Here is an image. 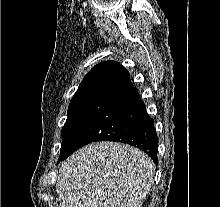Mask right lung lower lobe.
<instances>
[{
  "instance_id": "1",
  "label": "right lung lower lobe",
  "mask_w": 220,
  "mask_h": 207,
  "mask_svg": "<svg viewBox=\"0 0 220 207\" xmlns=\"http://www.w3.org/2000/svg\"><path fill=\"white\" fill-rule=\"evenodd\" d=\"M102 140L138 147L157 163L158 137L154 120L147 114L126 69L102 83L94 102L58 162L65 160L83 145Z\"/></svg>"
}]
</instances>
